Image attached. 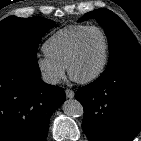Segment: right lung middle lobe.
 <instances>
[{
  "label": "right lung middle lobe",
  "mask_w": 141,
  "mask_h": 141,
  "mask_svg": "<svg viewBox=\"0 0 141 141\" xmlns=\"http://www.w3.org/2000/svg\"><path fill=\"white\" fill-rule=\"evenodd\" d=\"M54 26V21L41 17L5 18L0 22V62H36L40 40Z\"/></svg>",
  "instance_id": "obj_1"
}]
</instances>
